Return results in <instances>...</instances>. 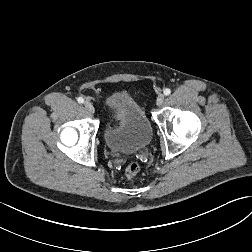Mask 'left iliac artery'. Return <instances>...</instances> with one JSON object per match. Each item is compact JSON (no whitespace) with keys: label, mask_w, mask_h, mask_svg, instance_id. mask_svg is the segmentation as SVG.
Returning <instances> with one entry per match:
<instances>
[{"label":"left iliac artery","mask_w":252,"mask_h":252,"mask_svg":"<svg viewBox=\"0 0 252 252\" xmlns=\"http://www.w3.org/2000/svg\"><path fill=\"white\" fill-rule=\"evenodd\" d=\"M170 93H171V90L169 88H166L164 90V95L168 96V95H170Z\"/></svg>","instance_id":"left-iliac-artery-1"}]
</instances>
